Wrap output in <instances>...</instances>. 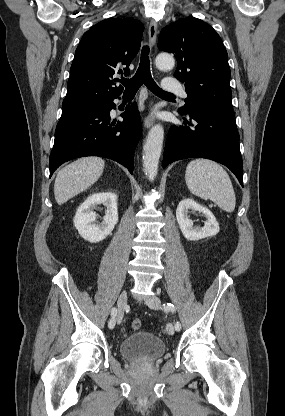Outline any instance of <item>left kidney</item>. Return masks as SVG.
Returning a JSON list of instances; mask_svg holds the SVG:
<instances>
[{
	"mask_svg": "<svg viewBox=\"0 0 285 416\" xmlns=\"http://www.w3.org/2000/svg\"><path fill=\"white\" fill-rule=\"evenodd\" d=\"M188 210H193V212H202L207 222H204L203 228H193L192 220L188 218ZM176 218L179 224V228L186 240H202V238H211V236H216L220 228L218 222H216L215 216L208 208H203L200 204H196L194 200H181L178 204L176 210Z\"/></svg>",
	"mask_w": 285,
	"mask_h": 416,
	"instance_id": "obj_1",
	"label": "left kidney"
}]
</instances>
